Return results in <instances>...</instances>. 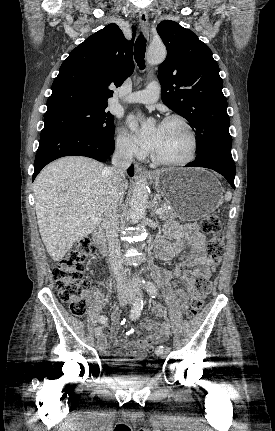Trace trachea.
<instances>
[{"mask_svg": "<svg viewBox=\"0 0 275 431\" xmlns=\"http://www.w3.org/2000/svg\"><path fill=\"white\" fill-rule=\"evenodd\" d=\"M146 39L140 34L135 42L134 58L141 70L145 68Z\"/></svg>", "mask_w": 275, "mask_h": 431, "instance_id": "obj_1", "label": "trachea"}]
</instances>
